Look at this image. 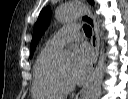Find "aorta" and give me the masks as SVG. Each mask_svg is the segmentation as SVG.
<instances>
[{"label": "aorta", "mask_w": 128, "mask_h": 99, "mask_svg": "<svg viewBox=\"0 0 128 99\" xmlns=\"http://www.w3.org/2000/svg\"><path fill=\"white\" fill-rule=\"evenodd\" d=\"M85 6L79 1H70L60 7L55 11V18L59 22H68L70 20L78 18L83 11ZM73 54L70 50L63 49L57 54V62L59 64L71 62ZM106 56L103 54L98 61V64L94 71L92 72L88 83L86 84L82 99H99L101 86L104 78Z\"/></svg>", "instance_id": "762f6f07"}]
</instances>
